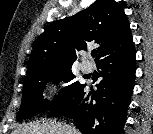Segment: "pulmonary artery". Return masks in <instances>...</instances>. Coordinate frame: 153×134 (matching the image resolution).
Listing matches in <instances>:
<instances>
[{
	"instance_id": "1",
	"label": "pulmonary artery",
	"mask_w": 153,
	"mask_h": 134,
	"mask_svg": "<svg viewBox=\"0 0 153 134\" xmlns=\"http://www.w3.org/2000/svg\"><path fill=\"white\" fill-rule=\"evenodd\" d=\"M93 63L88 61V60H84L82 63H81V68L84 72L86 73H89L93 70Z\"/></svg>"
}]
</instances>
